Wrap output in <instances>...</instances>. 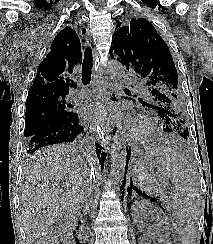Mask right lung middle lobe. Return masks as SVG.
<instances>
[{
	"label": "right lung middle lobe",
	"instance_id": "obj_1",
	"mask_svg": "<svg viewBox=\"0 0 213 244\" xmlns=\"http://www.w3.org/2000/svg\"><path fill=\"white\" fill-rule=\"evenodd\" d=\"M66 95L46 94L27 97L25 137L29 139L37 132L75 113L72 105L65 100Z\"/></svg>",
	"mask_w": 213,
	"mask_h": 244
}]
</instances>
